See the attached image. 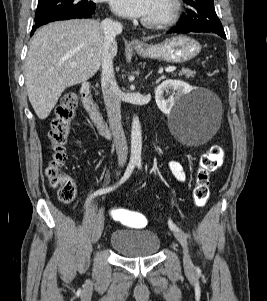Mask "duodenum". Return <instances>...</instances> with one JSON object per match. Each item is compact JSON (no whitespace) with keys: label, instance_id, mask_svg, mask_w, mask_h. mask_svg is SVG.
Instances as JSON below:
<instances>
[{"label":"duodenum","instance_id":"1","mask_svg":"<svg viewBox=\"0 0 267 301\" xmlns=\"http://www.w3.org/2000/svg\"><path fill=\"white\" fill-rule=\"evenodd\" d=\"M81 98L83 102V106L87 113L89 114L90 118L96 125L97 129L101 134H108L110 132V128L106 121L101 116L99 109L92 98L91 95V83L85 81L81 84L80 88Z\"/></svg>","mask_w":267,"mask_h":301}]
</instances>
